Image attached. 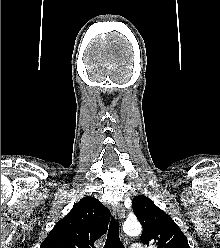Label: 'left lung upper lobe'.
Listing matches in <instances>:
<instances>
[{
	"mask_svg": "<svg viewBox=\"0 0 220 248\" xmlns=\"http://www.w3.org/2000/svg\"><path fill=\"white\" fill-rule=\"evenodd\" d=\"M132 208L143 227L142 243L156 248H190L178 225L148 197L136 196Z\"/></svg>",
	"mask_w": 220,
	"mask_h": 248,
	"instance_id": "left-lung-upper-lobe-1",
	"label": "left lung upper lobe"
}]
</instances>
